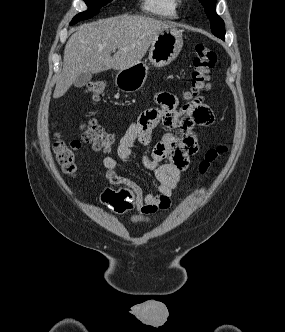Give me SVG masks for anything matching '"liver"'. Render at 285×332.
Instances as JSON below:
<instances>
[{
  "instance_id": "6515ba94",
  "label": "liver",
  "mask_w": 285,
  "mask_h": 332,
  "mask_svg": "<svg viewBox=\"0 0 285 332\" xmlns=\"http://www.w3.org/2000/svg\"><path fill=\"white\" fill-rule=\"evenodd\" d=\"M171 23L145 16L121 15L77 27L64 49L63 68L53 98L65 95L83 73L124 70L138 63L155 38ZM118 51L111 57V52Z\"/></svg>"
}]
</instances>
